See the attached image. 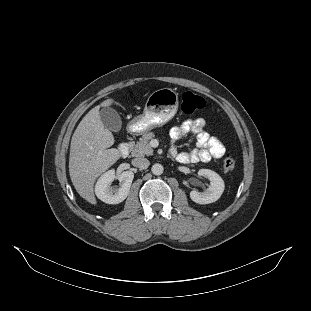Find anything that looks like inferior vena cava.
Here are the masks:
<instances>
[{
	"label": "inferior vena cava",
	"instance_id": "1",
	"mask_svg": "<svg viewBox=\"0 0 311 311\" xmlns=\"http://www.w3.org/2000/svg\"><path fill=\"white\" fill-rule=\"evenodd\" d=\"M132 165L139 169H147L149 166V161L146 158H135L132 160Z\"/></svg>",
	"mask_w": 311,
	"mask_h": 311
}]
</instances>
